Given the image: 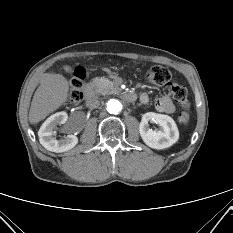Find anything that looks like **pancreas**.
Masks as SVG:
<instances>
[{
    "label": "pancreas",
    "mask_w": 233,
    "mask_h": 233,
    "mask_svg": "<svg viewBox=\"0 0 233 233\" xmlns=\"http://www.w3.org/2000/svg\"><path fill=\"white\" fill-rule=\"evenodd\" d=\"M94 93L109 95L116 91L112 81L105 77H95L89 85Z\"/></svg>",
    "instance_id": "obj_1"
}]
</instances>
